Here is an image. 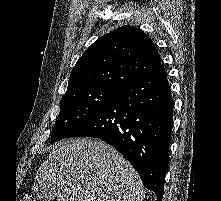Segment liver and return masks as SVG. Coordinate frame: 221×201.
<instances>
[{
	"instance_id": "1",
	"label": "liver",
	"mask_w": 221,
	"mask_h": 201,
	"mask_svg": "<svg viewBox=\"0 0 221 201\" xmlns=\"http://www.w3.org/2000/svg\"><path fill=\"white\" fill-rule=\"evenodd\" d=\"M52 190L58 201H143L145 189L131 164L96 139L55 145L39 168L34 191Z\"/></svg>"
}]
</instances>
